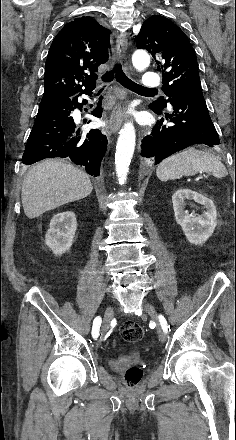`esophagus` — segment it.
<instances>
[{"mask_svg": "<svg viewBox=\"0 0 236 440\" xmlns=\"http://www.w3.org/2000/svg\"><path fill=\"white\" fill-rule=\"evenodd\" d=\"M126 49H127V41L124 37V34H120L116 41V56L119 59L125 57ZM123 117H124L123 106L121 103H118L113 108L109 119V127L112 132H116L120 128L123 122Z\"/></svg>", "mask_w": 236, "mask_h": 440, "instance_id": "1", "label": "esophagus"}]
</instances>
